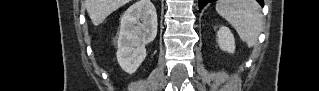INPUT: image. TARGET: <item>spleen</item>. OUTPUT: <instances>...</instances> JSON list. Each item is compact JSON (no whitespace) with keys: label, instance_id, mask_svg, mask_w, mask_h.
Listing matches in <instances>:
<instances>
[{"label":"spleen","instance_id":"3e777b00","mask_svg":"<svg viewBox=\"0 0 319 91\" xmlns=\"http://www.w3.org/2000/svg\"><path fill=\"white\" fill-rule=\"evenodd\" d=\"M216 11L235 28L248 47L257 43L263 16L255 0H220L216 4Z\"/></svg>","mask_w":319,"mask_h":91}]
</instances>
